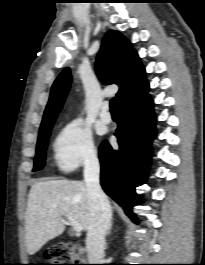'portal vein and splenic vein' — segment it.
<instances>
[{"label":"portal vein and splenic vein","instance_id":"portal-vein-and-splenic-vein-1","mask_svg":"<svg viewBox=\"0 0 205 265\" xmlns=\"http://www.w3.org/2000/svg\"><path fill=\"white\" fill-rule=\"evenodd\" d=\"M67 221L73 227V230L75 232H81L83 230L82 225L79 222H77L72 216L68 215Z\"/></svg>","mask_w":205,"mask_h":265}]
</instances>
